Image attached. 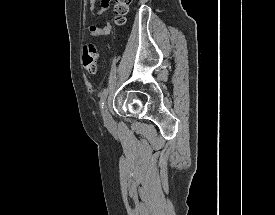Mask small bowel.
Returning <instances> with one entry per match:
<instances>
[{"label":"small bowel","instance_id":"c3829d8e","mask_svg":"<svg viewBox=\"0 0 275 215\" xmlns=\"http://www.w3.org/2000/svg\"><path fill=\"white\" fill-rule=\"evenodd\" d=\"M96 0H91L92 9H94V3ZM110 5V0H100V7L98 11L95 13V15H102L104 12L107 11L108 7ZM112 30L111 23L107 22L104 24H91L88 27V31L90 36L102 38L106 35H108Z\"/></svg>","mask_w":275,"mask_h":215}]
</instances>
